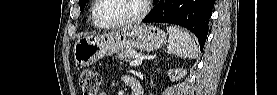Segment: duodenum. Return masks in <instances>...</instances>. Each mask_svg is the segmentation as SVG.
I'll use <instances>...</instances> for the list:
<instances>
[{"label":"duodenum","instance_id":"obj_1","mask_svg":"<svg viewBox=\"0 0 277 95\" xmlns=\"http://www.w3.org/2000/svg\"><path fill=\"white\" fill-rule=\"evenodd\" d=\"M129 87L131 89V95H140L141 93V85L136 79H131L129 81Z\"/></svg>","mask_w":277,"mask_h":95}]
</instances>
